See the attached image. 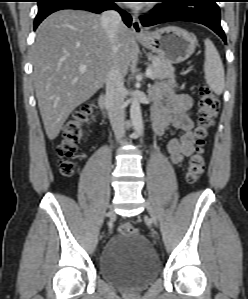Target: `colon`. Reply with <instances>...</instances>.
I'll list each match as a JSON object with an SVG mask.
<instances>
[{
    "label": "colon",
    "instance_id": "obj_1",
    "mask_svg": "<svg viewBox=\"0 0 248 299\" xmlns=\"http://www.w3.org/2000/svg\"><path fill=\"white\" fill-rule=\"evenodd\" d=\"M199 113L195 129V151L188 161L186 180L188 183H196L204 170L205 160L203 147L209 137L214 124V118L219 110V100L215 93L206 85L199 89ZM93 114V104L84 103L74 113L63 129V137L56 147L58 170L62 176L68 177L75 170L74 156L78 151L81 140L82 126L87 124ZM122 235L136 233L135 227L129 222H122L118 227Z\"/></svg>",
    "mask_w": 248,
    "mask_h": 299
}]
</instances>
